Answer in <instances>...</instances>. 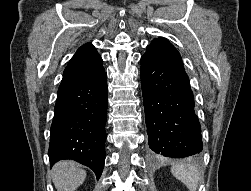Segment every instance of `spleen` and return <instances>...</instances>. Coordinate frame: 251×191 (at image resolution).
Wrapping results in <instances>:
<instances>
[{
	"instance_id": "spleen-1",
	"label": "spleen",
	"mask_w": 251,
	"mask_h": 191,
	"mask_svg": "<svg viewBox=\"0 0 251 191\" xmlns=\"http://www.w3.org/2000/svg\"><path fill=\"white\" fill-rule=\"evenodd\" d=\"M171 173L181 179L189 191H196L200 181V171L193 163H175L171 167Z\"/></svg>"
}]
</instances>
